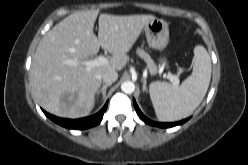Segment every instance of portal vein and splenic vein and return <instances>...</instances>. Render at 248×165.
<instances>
[{
    "label": "portal vein and splenic vein",
    "instance_id": "portal-vein-and-splenic-vein-1",
    "mask_svg": "<svg viewBox=\"0 0 248 165\" xmlns=\"http://www.w3.org/2000/svg\"><path fill=\"white\" fill-rule=\"evenodd\" d=\"M107 63L108 59L103 55H100L96 59L87 60L83 62V64L86 66L87 71H90L93 67L105 65ZM167 78L173 83L174 86L179 85V79L177 76L169 74L167 75Z\"/></svg>",
    "mask_w": 248,
    "mask_h": 165
}]
</instances>
